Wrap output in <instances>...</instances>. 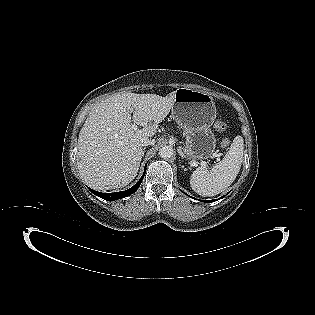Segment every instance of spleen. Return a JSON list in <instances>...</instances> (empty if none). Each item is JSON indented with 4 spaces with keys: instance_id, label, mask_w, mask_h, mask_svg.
<instances>
[{
    "instance_id": "1",
    "label": "spleen",
    "mask_w": 315,
    "mask_h": 315,
    "mask_svg": "<svg viewBox=\"0 0 315 315\" xmlns=\"http://www.w3.org/2000/svg\"><path fill=\"white\" fill-rule=\"evenodd\" d=\"M244 141L236 136L224 158L211 170L205 166L195 169L190 177L191 188L201 196H215L228 188L236 179L242 162Z\"/></svg>"
}]
</instances>
